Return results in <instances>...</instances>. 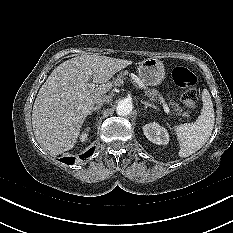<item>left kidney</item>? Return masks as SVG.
Returning <instances> with one entry per match:
<instances>
[{
    "instance_id": "left-kidney-1",
    "label": "left kidney",
    "mask_w": 233,
    "mask_h": 233,
    "mask_svg": "<svg viewBox=\"0 0 233 233\" xmlns=\"http://www.w3.org/2000/svg\"><path fill=\"white\" fill-rule=\"evenodd\" d=\"M143 132L146 138L154 144L167 145L169 143L167 130L158 123L146 124L143 126Z\"/></svg>"
}]
</instances>
